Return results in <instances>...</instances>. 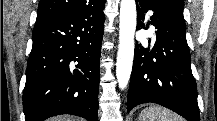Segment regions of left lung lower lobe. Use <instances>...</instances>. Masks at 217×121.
<instances>
[{"instance_id":"0a47b994","label":"left lung lower lobe","mask_w":217,"mask_h":121,"mask_svg":"<svg viewBox=\"0 0 217 121\" xmlns=\"http://www.w3.org/2000/svg\"><path fill=\"white\" fill-rule=\"evenodd\" d=\"M137 29H146L145 13L152 10L157 29L152 49L136 45L127 110L143 103H157L188 121H200L197 87L190 66L185 22L160 0H136Z\"/></svg>"}]
</instances>
